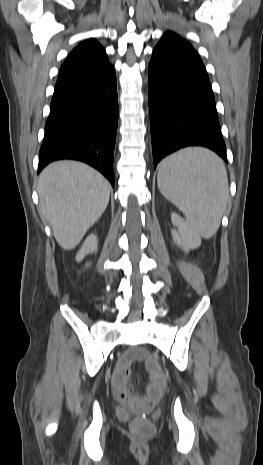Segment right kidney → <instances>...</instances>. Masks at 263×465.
Listing matches in <instances>:
<instances>
[{
	"instance_id": "right-kidney-1",
	"label": "right kidney",
	"mask_w": 263,
	"mask_h": 465,
	"mask_svg": "<svg viewBox=\"0 0 263 465\" xmlns=\"http://www.w3.org/2000/svg\"><path fill=\"white\" fill-rule=\"evenodd\" d=\"M98 240L95 234H90L84 241L82 247L76 255V260L79 262L84 259L87 254L97 251Z\"/></svg>"
}]
</instances>
